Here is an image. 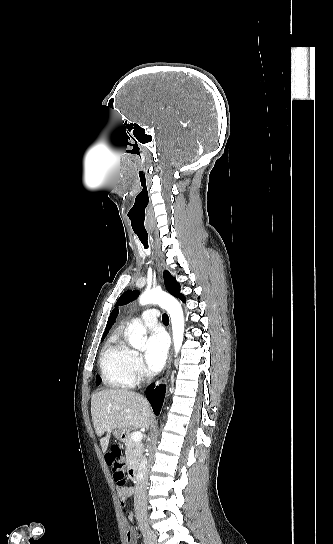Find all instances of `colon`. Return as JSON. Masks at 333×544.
<instances>
[{"mask_svg":"<svg viewBox=\"0 0 333 544\" xmlns=\"http://www.w3.org/2000/svg\"><path fill=\"white\" fill-rule=\"evenodd\" d=\"M106 462L112 467L114 481L119 486H125L126 477L123 470L124 459L118 445L112 446L110 451L106 454Z\"/></svg>","mask_w":333,"mask_h":544,"instance_id":"5ec220e1","label":"colon"}]
</instances>
